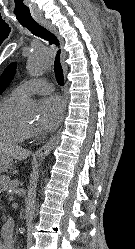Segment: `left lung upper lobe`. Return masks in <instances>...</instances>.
<instances>
[{
    "mask_svg": "<svg viewBox=\"0 0 135 249\" xmlns=\"http://www.w3.org/2000/svg\"><path fill=\"white\" fill-rule=\"evenodd\" d=\"M15 67H16L15 62L9 64L5 68L3 74L1 75V77H0V94L5 90L7 85L12 81V79L15 75Z\"/></svg>",
    "mask_w": 135,
    "mask_h": 249,
    "instance_id": "1",
    "label": "left lung upper lobe"
}]
</instances>
